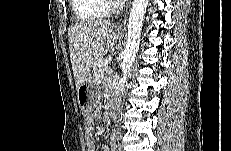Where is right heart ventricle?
<instances>
[{"label": "right heart ventricle", "mask_w": 231, "mask_h": 151, "mask_svg": "<svg viewBox=\"0 0 231 151\" xmlns=\"http://www.w3.org/2000/svg\"><path fill=\"white\" fill-rule=\"evenodd\" d=\"M73 11L79 24L97 22L107 16L106 8L101 0H74Z\"/></svg>", "instance_id": "obj_1"}]
</instances>
